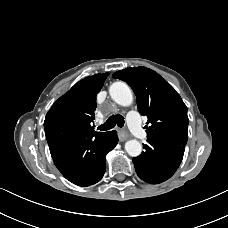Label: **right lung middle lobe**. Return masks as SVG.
I'll list each match as a JSON object with an SVG mask.
<instances>
[{
    "mask_svg": "<svg viewBox=\"0 0 228 228\" xmlns=\"http://www.w3.org/2000/svg\"><path fill=\"white\" fill-rule=\"evenodd\" d=\"M75 135L71 126L51 129L46 133L49 147H54Z\"/></svg>",
    "mask_w": 228,
    "mask_h": 228,
    "instance_id": "dd1d6c3e",
    "label": "right lung middle lobe"
}]
</instances>
